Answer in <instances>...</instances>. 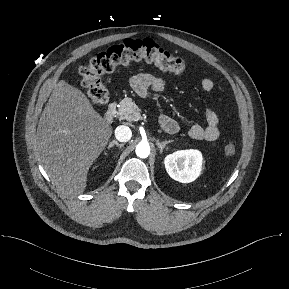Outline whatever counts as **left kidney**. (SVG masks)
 <instances>
[{"instance_id": "5707ae66", "label": "left kidney", "mask_w": 289, "mask_h": 289, "mask_svg": "<svg viewBox=\"0 0 289 289\" xmlns=\"http://www.w3.org/2000/svg\"><path fill=\"white\" fill-rule=\"evenodd\" d=\"M202 160V154L198 150H180L167 155L164 164L172 179L190 183L200 175Z\"/></svg>"}]
</instances>
